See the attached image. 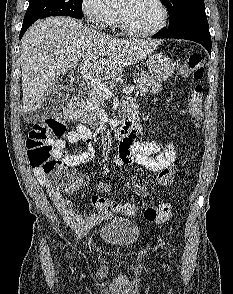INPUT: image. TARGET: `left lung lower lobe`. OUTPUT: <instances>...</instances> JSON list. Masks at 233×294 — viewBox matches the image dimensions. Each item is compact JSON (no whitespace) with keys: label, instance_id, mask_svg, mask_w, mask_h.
<instances>
[{"label":"left lung lower lobe","instance_id":"0a47b994","mask_svg":"<svg viewBox=\"0 0 233 294\" xmlns=\"http://www.w3.org/2000/svg\"><path fill=\"white\" fill-rule=\"evenodd\" d=\"M152 38H176L195 41L203 45L211 53V36L207 19H189L168 29H163Z\"/></svg>","mask_w":233,"mask_h":294}]
</instances>
